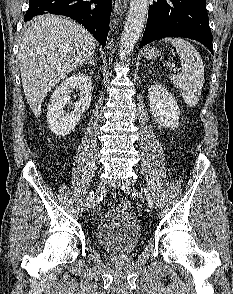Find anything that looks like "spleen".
I'll return each mask as SVG.
<instances>
[{
	"label": "spleen",
	"instance_id": "3e777b00",
	"mask_svg": "<svg viewBox=\"0 0 233 294\" xmlns=\"http://www.w3.org/2000/svg\"><path fill=\"white\" fill-rule=\"evenodd\" d=\"M179 55L182 72L169 75L174 87L181 90V95L188 107H195L200 99L204 83V65L199 52L188 41L182 38H166Z\"/></svg>",
	"mask_w": 233,
	"mask_h": 294
}]
</instances>
